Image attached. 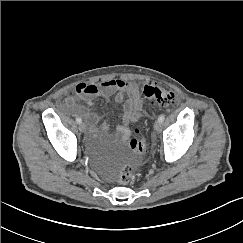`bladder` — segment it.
<instances>
[{
  "label": "bladder",
  "instance_id": "1",
  "mask_svg": "<svg viewBox=\"0 0 243 243\" xmlns=\"http://www.w3.org/2000/svg\"><path fill=\"white\" fill-rule=\"evenodd\" d=\"M94 139L96 141H105L106 140V135L103 134V132H99L97 135L94 136ZM121 159H127V158H132V155L129 154L128 152H123L120 155ZM126 165V164H125Z\"/></svg>",
  "mask_w": 243,
  "mask_h": 243
}]
</instances>
